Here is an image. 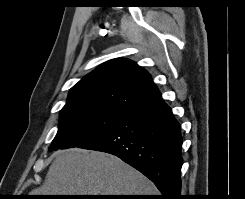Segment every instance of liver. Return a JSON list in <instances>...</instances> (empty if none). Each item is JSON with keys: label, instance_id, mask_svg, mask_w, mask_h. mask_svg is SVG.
<instances>
[{"label": "liver", "instance_id": "6515ba94", "mask_svg": "<svg viewBox=\"0 0 245 199\" xmlns=\"http://www.w3.org/2000/svg\"><path fill=\"white\" fill-rule=\"evenodd\" d=\"M143 174L111 154L72 148L59 152L43 186L30 195H157Z\"/></svg>", "mask_w": 245, "mask_h": 199}]
</instances>
